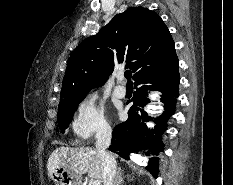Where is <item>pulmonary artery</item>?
I'll list each match as a JSON object with an SVG mask.
<instances>
[{"mask_svg": "<svg viewBox=\"0 0 233 185\" xmlns=\"http://www.w3.org/2000/svg\"><path fill=\"white\" fill-rule=\"evenodd\" d=\"M117 80L119 84L115 87V93L119 97H124L126 95V87L123 85L124 74L122 72L118 73Z\"/></svg>", "mask_w": 233, "mask_h": 185, "instance_id": "obj_1", "label": "pulmonary artery"}]
</instances>
